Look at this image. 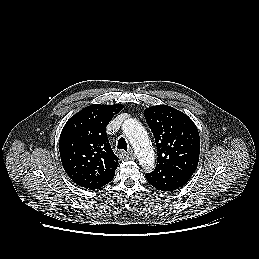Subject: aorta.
<instances>
[{
    "mask_svg": "<svg viewBox=\"0 0 259 259\" xmlns=\"http://www.w3.org/2000/svg\"><path fill=\"white\" fill-rule=\"evenodd\" d=\"M122 130L135 149L139 164L146 170L154 167V151L142 124L133 118L123 122Z\"/></svg>",
    "mask_w": 259,
    "mask_h": 259,
    "instance_id": "1",
    "label": "aorta"
}]
</instances>
